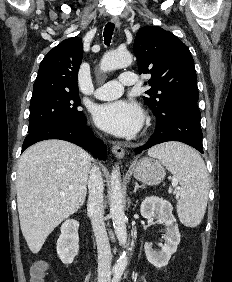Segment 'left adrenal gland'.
<instances>
[{
	"label": "left adrenal gland",
	"instance_id": "left-adrenal-gland-1",
	"mask_svg": "<svg viewBox=\"0 0 232 282\" xmlns=\"http://www.w3.org/2000/svg\"><path fill=\"white\" fill-rule=\"evenodd\" d=\"M139 188H142L144 189L145 187L144 186H140L137 182H135V187H134V193H136V191L139 189Z\"/></svg>",
	"mask_w": 232,
	"mask_h": 282
}]
</instances>
